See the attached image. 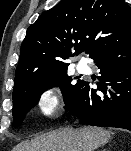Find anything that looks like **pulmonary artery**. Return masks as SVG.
<instances>
[{
  "instance_id": "obj_1",
  "label": "pulmonary artery",
  "mask_w": 131,
  "mask_h": 151,
  "mask_svg": "<svg viewBox=\"0 0 131 151\" xmlns=\"http://www.w3.org/2000/svg\"><path fill=\"white\" fill-rule=\"evenodd\" d=\"M77 70H78V72H80V73H84V72H86V71L88 70V67H87L86 64L79 63V64L77 65Z\"/></svg>"
}]
</instances>
